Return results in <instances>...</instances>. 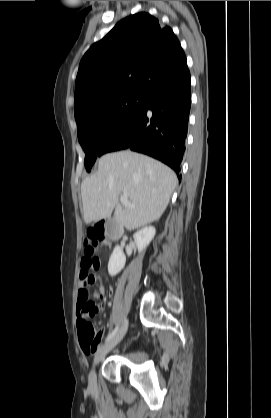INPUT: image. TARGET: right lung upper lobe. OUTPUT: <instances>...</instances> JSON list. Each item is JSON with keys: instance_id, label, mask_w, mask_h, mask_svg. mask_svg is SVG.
I'll return each instance as SVG.
<instances>
[{"instance_id": "1", "label": "right lung upper lobe", "mask_w": 271, "mask_h": 418, "mask_svg": "<svg viewBox=\"0 0 271 418\" xmlns=\"http://www.w3.org/2000/svg\"><path fill=\"white\" fill-rule=\"evenodd\" d=\"M186 62L168 26L146 12L124 18L82 58L76 78L74 114L123 93L148 97Z\"/></svg>"}]
</instances>
